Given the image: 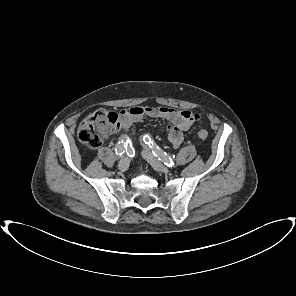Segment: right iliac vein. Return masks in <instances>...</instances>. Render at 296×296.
<instances>
[{"mask_svg": "<svg viewBox=\"0 0 296 296\" xmlns=\"http://www.w3.org/2000/svg\"><path fill=\"white\" fill-rule=\"evenodd\" d=\"M129 167V159L127 157H123L118 164V168L121 171H126Z\"/></svg>", "mask_w": 296, "mask_h": 296, "instance_id": "obj_1", "label": "right iliac vein"}]
</instances>
